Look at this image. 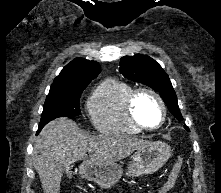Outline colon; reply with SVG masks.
<instances>
[{
    "instance_id": "colon-1",
    "label": "colon",
    "mask_w": 221,
    "mask_h": 193,
    "mask_svg": "<svg viewBox=\"0 0 221 193\" xmlns=\"http://www.w3.org/2000/svg\"><path fill=\"white\" fill-rule=\"evenodd\" d=\"M183 164V159L179 157L174 163L167 181L160 188L158 193H168L175 185Z\"/></svg>"
}]
</instances>
